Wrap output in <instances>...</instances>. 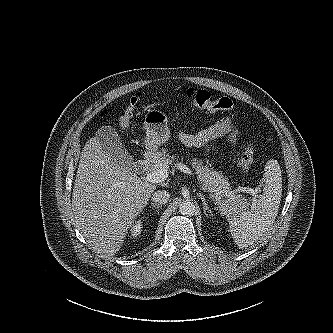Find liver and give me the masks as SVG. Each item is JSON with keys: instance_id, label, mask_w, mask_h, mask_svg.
<instances>
[{"instance_id": "6515ba94", "label": "liver", "mask_w": 333, "mask_h": 333, "mask_svg": "<svg viewBox=\"0 0 333 333\" xmlns=\"http://www.w3.org/2000/svg\"><path fill=\"white\" fill-rule=\"evenodd\" d=\"M72 195L78 229L98 253L113 257L156 185L139 178L90 138L80 157Z\"/></svg>"}]
</instances>
